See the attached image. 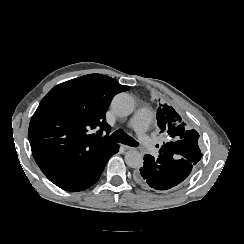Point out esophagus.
I'll return each instance as SVG.
<instances>
[{"instance_id":"obj_1","label":"esophagus","mask_w":244,"mask_h":244,"mask_svg":"<svg viewBox=\"0 0 244 244\" xmlns=\"http://www.w3.org/2000/svg\"><path fill=\"white\" fill-rule=\"evenodd\" d=\"M121 147H122L124 150H131V149H133L131 146H127V145H121Z\"/></svg>"}]
</instances>
